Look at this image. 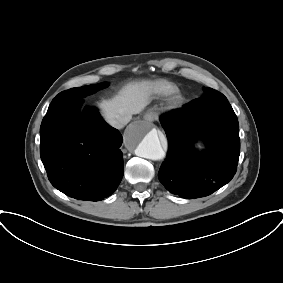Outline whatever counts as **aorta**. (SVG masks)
I'll return each mask as SVG.
<instances>
[{"label": "aorta", "mask_w": 283, "mask_h": 283, "mask_svg": "<svg viewBox=\"0 0 283 283\" xmlns=\"http://www.w3.org/2000/svg\"><path fill=\"white\" fill-rule=\"evenodd\" d=\"M124 142L137 156L155 161L165 157L159 133L150 123L132 124L125 133Z\"/></svg>", "instance_id": "obj_1"}]
</instances>
